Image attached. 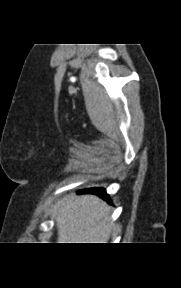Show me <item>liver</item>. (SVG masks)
I'll use <instances>...</instances> for the list:
<instances>
[{
	"mask_svg": "<svg viewBox=\"0 0 181 288\" xmlns=\"http://www.w3.org/2000/svg\"><path fill=\"white\" fill-rule=\"evenodd\" d=\"M110 212L108 204L97 196L68 197L56 213L59 243H107Z\"/></svg>",
	"mask_w": 181,
	"mask_h": 288,
	"instance_id": "obj_1",
	"label": "liver"
}]
</instances>
